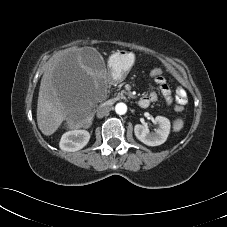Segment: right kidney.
I'll use <instances>...</instances> for the list:
<instances>
[{
    "mask_svg": "<svg viewBox=\"0 0 227 227\" xmlns=\"http://www.w3.org/2000/svg\"><path fill=\"white\" fill-rule=\"evenodd\" d=\"M90 133L86 130H71L61 137L59 147L68 152H75L87 145Z\"/></svg>",
    "mask_w": 227,
    "mask_h": 227,
    "instance_id": "right-kidney-1",
    "label": "right kidney"
}]
</instances>
